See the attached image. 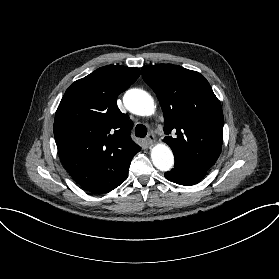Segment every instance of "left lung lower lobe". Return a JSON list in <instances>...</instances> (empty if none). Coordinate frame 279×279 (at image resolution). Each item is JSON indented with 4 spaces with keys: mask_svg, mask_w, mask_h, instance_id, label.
<instances>
[{
    "mask_svg": "<svg viewBox=\"0 0 279 279\" xmlns=\"http://www.w3.org/2000/svg\"><path fill=\"white\" fill-rule=\"evenodd\" d=\"M206 174L207 172L205 171H197L183 165L175 164V167L171 171L165 173V177L171 182L190 186L200 182Z\"/></svg>",
    "mask_w": 279,
    "mask_h": 279,
    "instance_id": "obj_1",
    "label": "left lung lower lobe"
}]
</instances>
